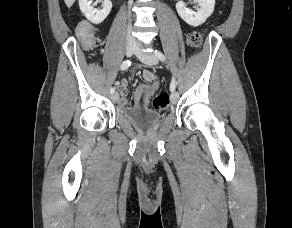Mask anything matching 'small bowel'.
<instances>
[{
    "label": "small bowel",
    "mask_w": 292,
    "mask_h": 228,
    "mask_svg": "<svg viewBox=\"0 0 292 228\" xmlns=\"http://www.w3.org/2000/svg\"><path fill=\"white\" fill-rule=\"evenodd\" d=\"M142 77L145 81L144 84H140L136 87L134 92V104L135 107L142 106L148 108L150 104V98L158 89V82L156 75L150 70H143ZM129 79L124 78L117 83V87L120 93V104L122 106H128V89Z\"/></svg>",
    "instance_id": "1"
}]
</instances>
